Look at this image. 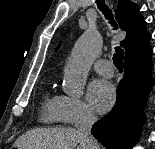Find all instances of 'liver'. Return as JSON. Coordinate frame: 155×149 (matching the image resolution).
<instances>
[{"instance_id": "1", "label": "liver", "mask_w": 155, "mask_h": 149, "mask_svg": "<svg viewBox=\"0 0 155 149\" xmlns=\"http://www.w3.org/2000/svg\"><path fill=\"white\" fill-rule=\"evenodd\" d=\"M87 149L83 135L74 128H37L20 136L13 144L17 149Z\"/></svg>"}]
</instances>
